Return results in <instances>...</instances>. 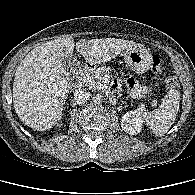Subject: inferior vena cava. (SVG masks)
I'll return each instance as SVG.
<instances>
[{
    "label": "inferior vena cava",
    "instance_id": "obj_1",
    "mask_svg": "<svg viewBox=\"0 0 195 195\" xmlns=\"http://www.w3.org/2000/svg\"><path fill=\"white\" fill-rule=\"evenodd\" d=\"M91 93L86 88H79L74 92L73 99L77 104H83L89 100Z\"/></svg>",
    "mask_w": 195,
    "mask_h": 195
}]
</instances>
